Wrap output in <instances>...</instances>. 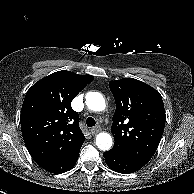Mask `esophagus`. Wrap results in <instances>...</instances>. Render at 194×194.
<instances>
[{
	"mask_svg": "<svg viewBox=\"0 0 194 194\" xmlns=\"http://www.w3.org/2000/svg\"><path fill=\"white\" fill-rule=\"evenodd\" d=\"M100 131H101V127L100 126H96V127L92 128L90 130L91 134H93V135L97 134Z\"/></svg>",
	"mask_w": 194,
	"mask_h": 194,
	"instance_id": "1",
	"label": "esophagus"
}]
</instances>
